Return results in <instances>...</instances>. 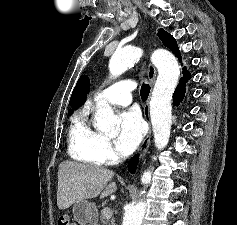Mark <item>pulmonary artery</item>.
Returning <instances> with one entry per match:
<instances>
[{
  "label": "pulmonary artery",
  "instance_id": "obj_1",
  "mask_svg": "<svg viewBox=\"0 0 237 225\" xmlns=\"http://www.w3.org/2000/svg\"><path fill=\"white\" fill-rule=\"evenodd\" d=\"M136 88L130 80L118 81L102 90L94 97L97 104L110 103L120 106H128L132 102L131 92Z\"/></svg>",
  "mask_w": 237,
  "mask_h": 225
}]
</instances>
